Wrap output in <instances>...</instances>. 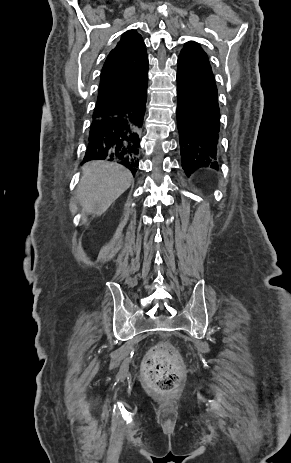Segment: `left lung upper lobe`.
<instances>
[{
	"label": "left lung upper lobe",
	"mask_w": 291,
	"mask_h": 463,
	"mask_svg": "<svg viewBox=\"0 0 291 463\" xmlns=\"http://www.w3.org/2000/svg\"><path fill=\"white\" fill-rule=\"evenodd\" d=\"M177 63L179 70L215 82L208 56L198 43L187 42L181 50Z\"/></svg>",
	"instance_id": "1"
}]
</instances>
